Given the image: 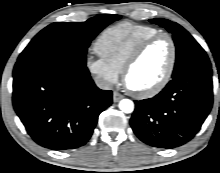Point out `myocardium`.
Returning a JSON list of instances; mask_svg holds the SVG:
<instances>
[{
	"instance_id": "1",
	"label": "myocardium",
	"mask_w": 220,
	"mask_h": 173,
	"mask_svg": "<svg viewBox=\"0 0 220 173\" xmlns=\"http://www.w3.org/2000/svg\"><path fill=\"white\" fill-rule=\"evenodd\" d=\"M160 38H166L169 41L170 46H171L170 62H169V65H168V68H167L165 74L159 80L158 83H156L154 86L150 87L149 89H146L143 91H137V90L130 88L127 85V76L129 74L130 70L137 63V61L143 55L145 50L153 42L157 41ZM176 62H177V47H176V43H175L173 37L170 34L165 33V32L156 33V34L146 38L142 42H140L138 44V46L133 50L131 55L128 57L127 61L125 62L124 66H123V69H122V81H123L124 85L126 86V88L129 90V92L133 96L140 98V99L151 98V97L157 95L158 93H160L168 85V83L170 82V80L173 76Z\"/></svg>"
}]
</instances>
